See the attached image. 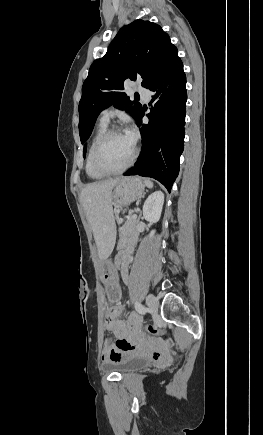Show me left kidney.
<instances>
[{"mask_svg":"<svg viewBox=\"0 0 263 435\" xmlns=\"http://www.w3.org/2000/svg\"><path fill=\"white\" fill-rule=\"evenodd\" d=\"M164 204V193L162 191H155L148 196L143 205V216L144 218L151 222L156 223L159 221L162 208ZM155 230L150 233V238L153 237Z\"/></svg>","mask_w":263,"mask_h":435,"instance_id":"left-kidney-1","label":"left kidney"}]
</instances>
